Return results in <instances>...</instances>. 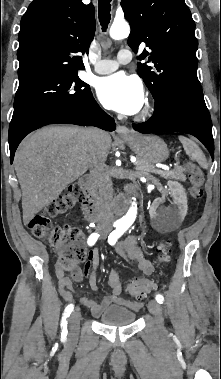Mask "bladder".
<instances>
[{"label": "bladder", "mask_w": 221, "mask_h": 379, "mask_svg": "<svg viewBox=\"0 0 221 379\" xmlns=\"http://www.w3.org/2000/svg\"><path fill=\"white\" fill-rule=\"evenodd\" d=\"M135 320V312L118 305L108 307L99 317V321L108 326H126Z\"/></svg>", "instance_id": "31cf9c89"}]
</instances>
